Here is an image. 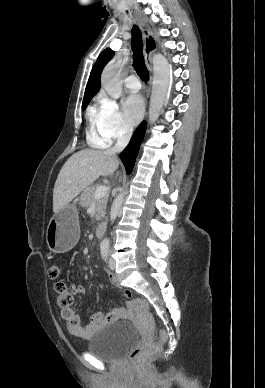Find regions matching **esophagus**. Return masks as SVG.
I'll return each instance as SVG.
<instances>
[{"mask_svg": "<svg viewBox=\"0 0 265 388\" xmlns=\"http://www.w3.org/2000/svg\"><path fill=\"white\" fill-rule=\"evenodd\" d=\"M134 14L143 35V49L145 54V63H146V66L148 67L149 72L152 73L151 55H152V52L157 47V42L152 34V31L149 27L147 20L142 16L141 12L134 10ZM151 83H152V78L150 77V85Z\"/></svg>", "mask_w": 265, "mask_h": 388, "instance_id": "obj_1", "label": "esophagus"}]
</instances>
